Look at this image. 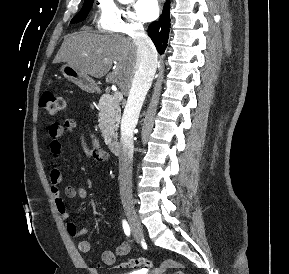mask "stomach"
I'll return each instance as SVG.
<instances>
[{
	"label": "stomach",
	"mask_w": 289,
	"mask_h": 274,
	"mask_svg": "<svg viewBox=\"0 0 289 274\" xmlns=\"http://www.w3.org/2000/svg\"><path fill=\"white\" fill-rule=\"evenodd\" d=\"M60 72L67 80L73 82L83 91L94 93L98 90L95 81L72 65L66 63L60 67Z\"/></svg>",
	"instance_id": "0dacf381"
}]
</instances>
